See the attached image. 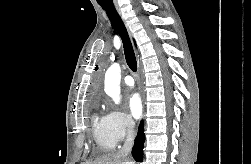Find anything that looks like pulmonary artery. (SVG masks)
<instances>
[{
    "mask_svg": "<svg viewBox=\"0 0 251 164\" xmlns=\"http://www.w3.org/2000/svg\"><path fill=\"white\" fill-rule=\"evenodd\" d=\"M124 83L127 85V86H134V79L132 76L130 75H126L124 77Z\"/></svg>",
    "mask_w": 251,
    "mask_h": 164,
    "instance_id": "e3ab8cb5",
    "label": "pulmonary artery"
}]
</instances>
